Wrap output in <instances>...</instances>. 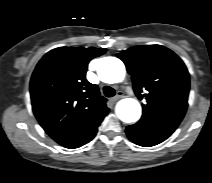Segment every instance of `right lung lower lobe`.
Segmentation results:
<instances>
[{"label": "right lung lower lobe", "mask_w": 212, "mask_h": 183, "mask_svg": "<svg viewBox=\"0 0 212 183\" xmlns=\"http://www.w3.org/2000/svg\"><path fill=\"white\" fill-rule=\"evenodd\" d=\"M97 133V129L92 131L88 136H86L83 140L78 141L76 143L70 144L65 146L66 148H70V149H74V148H78L86 143H88Z\"/></svg>", "instance_id": "1"}]
</instances>
